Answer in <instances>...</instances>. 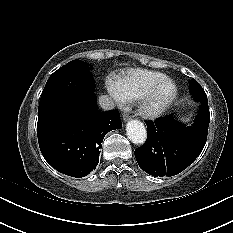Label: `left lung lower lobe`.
<instances>
[{
  "instance_id": "obj_1",
  "label": "left lung lower lobe",
  "mask_w": 233,
  "mask_h": 233,
  "mask_svg": "<svg viewBox=\"0 0 233 233\" xmlns=\"http://www.w3.org/2000/svg\"><path fill=\"white\" fill-rule=\"evenodd\" d=\"M210 112L207 98L201 102L191 126L179 123L172 115L146 122L145 144L135 150L140 168L152 176H174L186 169L203 150Z\"/></svg>"
}]
</instances>
